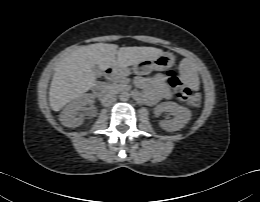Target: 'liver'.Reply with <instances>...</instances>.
<instances>
[{
    "label": "liver",
    "instance_id": "liver-1",
    "mask_svg": "<svg viewBox=\"0 0 260 202\" xmlns=\"http://www.w3.org/2000/svg\"><path fill=\"white\" fill-rule=\"evenodd\" d=\"M96 43L81 46L63 58L53 75L49 102L53 111H60L67 103L90 90L96 81L92 67L101 70L112 66L128 67L163 53L154 47H121Z\"/></svg>",
    "mask_w": 260,
    "mask_h": 202
}]
</instances>
